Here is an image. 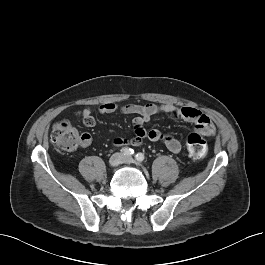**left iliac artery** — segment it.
I'll return each instance as SVG.
<instances>
[{
  "label": "left iliac artery",
  "mask_w": 265,
  "mask_h": 265,
  "mask_svg": "<svg viewBox=\"0 0 265 265\" xmlns=\"http://www.w3.org/2000/svg\"><path fill=\"white\" fill-rule=\"evenodd\" d=\"M135 158H136V160L137 161H139V162H142L143 160H144V154H142V153H137L136 155H135Z\"/></svg>",
  "instance_id": "1"
}]
</instances>
